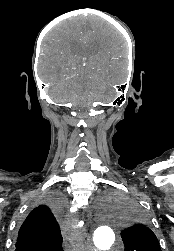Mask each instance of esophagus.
I'll use <instances>...</instances> for the list:
<instances>
[{"instance_id":"esophagus-1","label":"esophagus","mask_w":174,"mask_h":251,"mask_svg":"<svg viewBox=\"0 0 174 251\" xmlns=\"http://www.w3.org/2000/svg\"><path fill=\"white\" fill-rule=\"evenodd\" d=\"M86 241H87V249L91 250V251H96V250H93L91 243H90V238L87 234H86Z\"/></svg>"}]
</instances>
